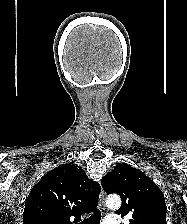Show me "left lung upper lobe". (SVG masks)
Segmentation results:
<instances>
[{
	"label": "left lung upper lobe",
	"instance_id": "obj_1",
	"mask_svg": "<svg viewBox=\"0 0 187 224\" xmlns=\"http://www.w3.org/2000/svg\"><path fill=\"white\" fill-rule=\"evenodd\" d=\"M101 184L107 194L120 195L122 205L116 213L132 215L130 224H167L162 191L139 169L119 164L102 178Z\"/></svg>",
	"mask_w": 187,
	"mask_h": 224
}]
</instances>
